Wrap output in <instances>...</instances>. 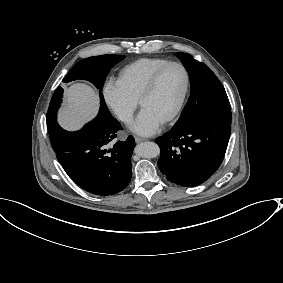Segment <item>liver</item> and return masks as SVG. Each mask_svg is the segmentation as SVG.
<instances>
[{
	"mask_svg": "<svg viewBox=\"0 0 283 283\" xmlns=\"http://www.w3.org/2000/svg\"><path fill=\"white\" fill-rule=\"evenodd\" d=\"M66 107L60 112V123L68 129H76L82 121L92 117L98 109L97 93L82 84L71 86L66 93Z\"/></svg>",
	"mask_w": 283,
	"mask_h": 283,
	"instance_id": "6515ba94",
	"label": "liver"
}]
</instances>
